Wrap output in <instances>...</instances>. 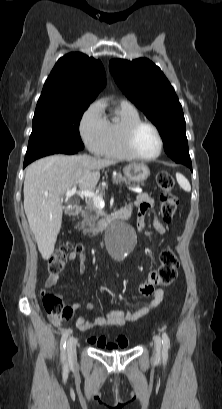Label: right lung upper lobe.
I'll list each match as a JSON object with an SVG mask.
<instances>
[{
  "label": "right lung upper lobe",
  "instance_id": "1",
  "mask_svg": "<svg viewBox=\"0 0 222 409\" xmlns=\"http://www.w3.org/2000/svg\"><path fill=\"white\" fill-rule=\"evenodd\" d=\"M106 85L102 63L75 52L61 57L48 76L36 109L90 104Z\"/></svg>",
  "mask_w": 222,
  "mask_h": 409
}]
</instances>
